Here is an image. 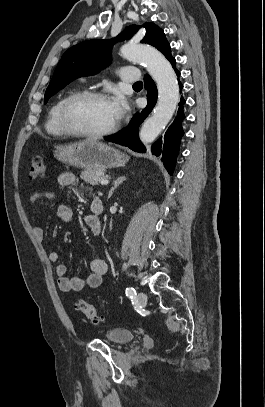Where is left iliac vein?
Returning a JSON list of instances; mask_svg holds the SVG:
<instances>
[{
  "label": "left iliac vein",
  "instance_id": "obj_1",
  "mask_svg": "<svg viewBox=\"0 0 265 407\" xmlns=\"http://www.w3.org/2000/svg\"><path fill=\"white\" fill-rule=\"evenodd\" d=\"M136 299H137V303L141 306H144L147 302V296L144 292H139L137 294Z\"/></svg>",
  "mask_w": 265,
  "mask_h": 407
}]
</instances>
